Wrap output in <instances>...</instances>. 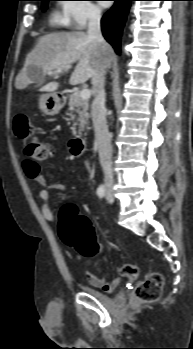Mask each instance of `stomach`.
Segmentation results:
<instances>
[{
	"label": "stomach",
	"mask_w": 193,
	"mask_h": 349,
	"mask_svg": "<svg viewBox=\"0 0 193 349\" xmlns=\"http://www.w3.org/2000/svg\"><path fill=\"white\" fill-rule=\"evenodd\" d=\"M62 107V99L57 93L42 94L39 98V108L45 115H55Z\"/></svg>",
	"instance_id": "0dacf381"
}]
</instances>
